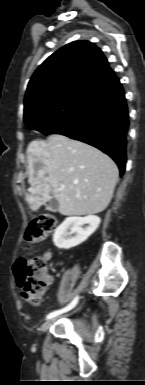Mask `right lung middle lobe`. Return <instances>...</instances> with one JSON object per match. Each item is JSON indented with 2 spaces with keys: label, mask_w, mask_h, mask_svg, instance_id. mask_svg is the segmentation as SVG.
Listing matches in <instances>:
<instances>
[{
  "label": "right lung middle lobe",
  "mask_w": 145,
  "mask_h": 385,
  "mask_svg": "<svg viewBox=\"0 0 145 385\" xmlns=\"http://www.w3.org/2000/svg\"><path fill=\"white\" fill-rule=\"evenodd\" d=\"M96 93L88 89L64 92L31 109L24 115V122L29 129L51 134L80 112Z\"/></svg>",
  "instance_id": "1"
}]
</instances>
